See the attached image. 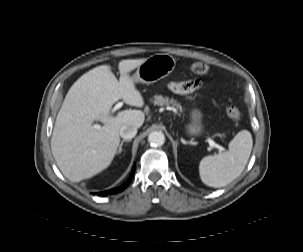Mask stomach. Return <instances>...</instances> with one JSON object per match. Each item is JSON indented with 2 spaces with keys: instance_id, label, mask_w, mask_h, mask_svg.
<instances>
[{
  "instance_id": "obj_1",
  "label": "stomach",
  "mask_w": 303,
  "mask_h": 252,
  "mask_svg": "<svg viewBox=\"0 0 303 252\" xmlns=\"http://www.w3.org/2000/svg\"><path fill=\"white\" fill-rule=\"evenodd\" d=\"M176 61L169 54H156L148 57L137 68L132 79L135 83L151 84L168 76L175 68ZM190 122L185 125L184 132L189 136H201L203 130V114L200 109L194 108L189 113Z\"/></svg>"
}]
</instances>
